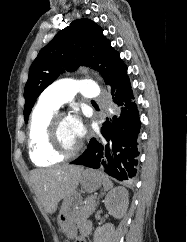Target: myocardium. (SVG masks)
Wrapping results in <instances>:
<instances>
[{
	"instance_id": "myocardium-1",
	"label": "myocardium",
	"mask_w": 187,
	"mask_h": 242,
	"mask_svg": "<svg viewBox=\"0 0 187 242\" xmlns=\"http://www.w3.org/2000/svg\"><path fill=\"white\" fill-rule=\"evenodd\" d=\"M68 116L63 112H56L51 117L46 128V143L51 153L64 159L75 156L82 148V143L79 142L77 146L69 151L61 149L57 141V126L63 119H67Z\"/></svg>"
}]
</instances>
